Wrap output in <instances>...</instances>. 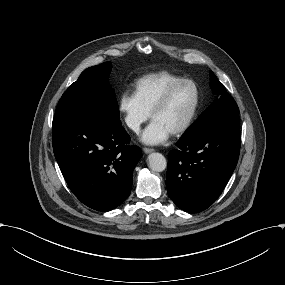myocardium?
<instances>
[{
	"label": "myocardium",
	"mask_w": 285,
	"mask_h": 285,
	"mask_svg": "<svg viewBox=\"0 0 285 285\" xmlns=\"http://www.w3.org/2000/svg\"><path fill=\"white\" fill-rule=\"evenodd\" d=\"M183 83H190L194 86V89L196 92V99H195V103H194V106L192 108L190 115L184 121L182 125H180L179 127H177L176 129L172 131L173 134H180V133L185 132L191 126V124L193 123L194 119L196 118L198 114V111L201 105V99H202L201 89L198 83L192 78H182L176 81L164 91V93L161 95V97L159 98V100L154 105L151 111V116L153 117L157 111H159L160 109H162L164 106L167 105L175 89Z\"/></svg>",
	"instance_id": "1"
}]
</instances>
